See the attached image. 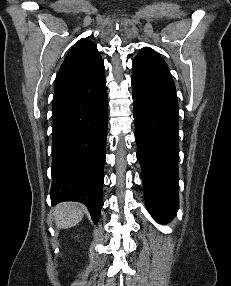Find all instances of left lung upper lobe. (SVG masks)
I'll use <instances>...</instances> for the list:
<instances>
[{
  "mask_svg": "<svg viewBox=\"0 0 231 286\" xmlns=\"http://www.w3.org/2000/svg\"><path fill=\"white\" fill-rule=\"evenodd\" d=\"M136 59L145 60L151 63L160 64L167 67L165 61L160 57V55L149 47H144L140 50Z\"/></svg>",
  "mask_w": 231,
  "mask_h": 286,
  "instance_id": "left-lung-upper-lobe-1",
  "label": "left lung upper lobe"
}]
</instances>
